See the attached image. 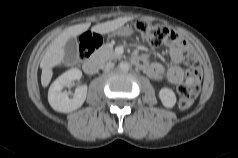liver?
<instances>
[{
    "label": "liver",
    "mask_w": 238,
    "mask_h": 158,
    "mask_svg": "<svg viewBox=\"0 0 238 158\" xmlns=\"http://www.w3.org/2000/svg\"><path fill=\"white\" fill-rule=\"evenodd\" d=\"M130 18L122 17L112 21L97 24L92 27V31L98 34H106L121 28ZM90 27V23L78 24L66 28L58 37H56L47 48L40 67L42 68L41 73V84L43 87H47L53 76V68L59 64L64 56V46L69 38L76 37L86 32Z\"/></svg>",
    "instance_id": "obj_1"
}]
</instances>
